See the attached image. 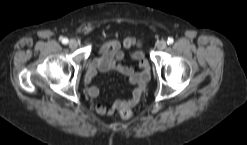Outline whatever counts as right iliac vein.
Here are the masks:
<instances>
[{"label":"right iliac vein","mask_w":247,"mask_h":145,"mask_svg":"<svg viewBox=\"0 0 247 145\" xmlns=\"http://www.w3.org/2000/svg\"><path fill=\"white\" fill-rule=\"evenodd\" d=\"M69 46L70 48L75 49L78 47V42L76 40H70Z\"/></svg>","instance_id":"right-iliac-vein-1"}]
</instances>
